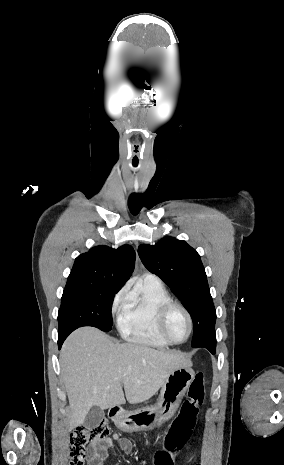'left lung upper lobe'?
<instances>
[{"label": "left lung upper lobe", "mask_w": 284, "mask_h": 465, "mask_svg": "<svg viewBox=\"0 0 284 465\" xmlns=\"http://www.w3.org/2000/svg\"><path fill=\"white\" fill-rule=\"evenodd\" d=\"M138 254L144 266L173 290L190 313L194 324L192 346L212 353L211 348L216 346V310L197 251L185 241L166 237L155 245H140Z\"/></svg>", "instance_id": "obj_1"}]
</instances>
